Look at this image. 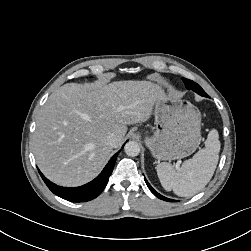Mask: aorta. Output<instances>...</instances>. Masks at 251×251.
<instances>
[{
	"label": "aorta",
	"mask_w": 251,
	"mask_h": 251,
	"mask_svg": "<svg viewBox=\"0 0 251 251\" xmlns=\"http://www.w3.org/2000/svg\"><path fill=\"white\" fill-rule=\"evenodd\" d=\"M124 150L128 156L135 157L140 153V146L135 141H129L125 144Z\"/></svg>",
	"instance_id": "aorta-1"
}]
</instances>
